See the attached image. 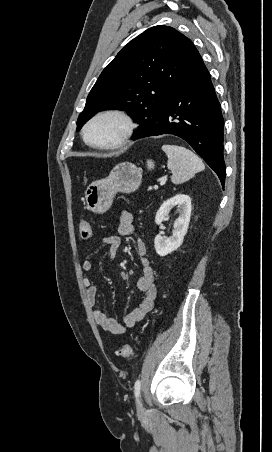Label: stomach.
<instances>
[{
    "mask_svg": "<svg viewBox=\"0 0 272 452\" xmlns=\"http://www.w3.org/2000/svg\"><path fill=\"white\" fill-rule=\"evenodd\" d=\"M155 164L147 160V168L152 170ZM142 181V169L131 162L117 164L110 174L101 180L87 186L84 197L86 206L95 213H104L112 205L118 192L132 193L136 191Z\"/></svg>",
    "mask_w": 272,
    "mask_h": 452,
    "instance_id": "obj_1",
    "label": "stomach"
}]
</instances>
